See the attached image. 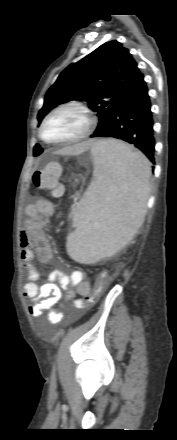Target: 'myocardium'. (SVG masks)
<instances>
[{"instance_id":"obj_1","label":"myocardium","mask_w":177,"mask_h":440,"mask_svg":"<svg viewBox=\"0 0 177 440\" xmlns=\"http://www.w3.org/2000/svg\"><path fill=\"white\" fill-rule=\"evenodd\" d=\"M62 111H73L78 113L79 115H81L84 120H85V127L83 128V130L78 133L77 135L70 137V138H66V139H62V140H57V141H50L47 140L44 136V128L48 122V120L55 115L58 112H62ZM94 119L92 118V116L89 114V112L78 105H73V104H67V105H62L59 106L55 109H53L51 112H49L45 118L43 119L40 128H39V137L41 138L42 141H44L47 144H51V145H63V144H70V143H75L78 141H81L83 139H85L92 131L93 127H94Z\"/></svg>"}]
</instances>
